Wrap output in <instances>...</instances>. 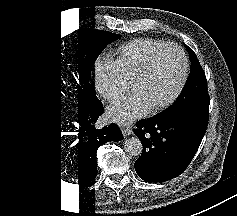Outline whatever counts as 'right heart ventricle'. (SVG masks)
Segmentation results:
<instances>
[{
    "mask_svg": "<svg viewBox=\"0 0 237 216\" xmlns=\"http://www.w3.org/2000/svg\"><path fill=\"white\" fill-rule=\"evenodd\" d=\"M170 48V40L131 42L116 54V68L124 76L137 78L139 66L150 62L157 55L168 53Z\"/></svg>",
    "mask_w": 237,
    "mask_h": 216,
    "instance_id": "1",
    "label": "right heart ventricle"
}]
</instances>
